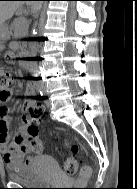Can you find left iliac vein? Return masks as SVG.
<instances>
[{
    "label": "left iliac vein",
    "instance_id": "1",
    "mask_svg": "<svg viewBox=\"0 0 137 189\" xmlns=\"http://www.w3.org/2000/svg\"><path fill=\"white\" fill-rule=\"evenodd\" d=\"M43 92H44V94H45V90H43ZM45 105H46V107H50L51 101H50L49 99H46V100H45Z\"/></svg>",
    "mask_w": 137,
    "mask_h": 189
}]
</instances>
